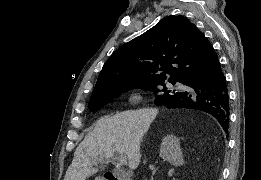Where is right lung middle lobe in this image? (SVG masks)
Returning a JSON list of instances; mask_svg holds the SVG:
<instances>
[{
    "label": "right lung middle lobe",
    "instance_id": "obj_1",
    "mask_svg": "<svg viewBox=\"0 0 261 180\" xmlns=\"http://www.w3.org/2000/svg\"><path fill=\"white\" fill-rule=\"evenodd\" d=\"M169 82L174 84L177 81L169 80ZM179 82L183 83L182 81H179ZM163 84H164V80L163 81H158V82H153V83H148V84H143V85H138V86H135V87L142 88L144 90H153V91H155L154 86L163 85ZM131 88H134V87H131ZM131 88L119 90V91H116V92H113V93H110V94H107V95H103V96H100V97H96V98L90 99V102L88 104V108H89L90 111H97V110L101 109L104 105H106L107 103L112 101L115 97L120 95L122 92L127 91V90H129ZM162 91L164 93L157 95L156 100H155V104H159L160 105L162 102H164V101H166L168 99H171L175 95L180 93V92H177L175 90H167L166 86L163 87ZM157 93H158V91H157Z\"/></svg>",
    "mask_w": 261,
    "mask_h": 180
}]
</instances>
